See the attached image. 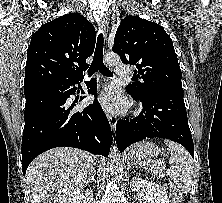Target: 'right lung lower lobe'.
<instances>
[{"mask_svg":"<svg viewBox=\"0 0 222 203\" xmlns=\"http://www.w3.org/2000/svg\"><path fill=\"white\" fill-rule=\"evenodd\" d=\"M82 79L61 82L25 95L23 175L35 157L55 147H75L108 156L112 133L97 99L82 111H74V105L68 106L66 102L75 94V84H80ZM96 87L95 80L91 79L87 83L88 93L96 94Z\"/></svg>","mask_w":222,"mask_h":203,"instance_id":"98d812e1","label":"right lung lower lobe"}]
</instances>
